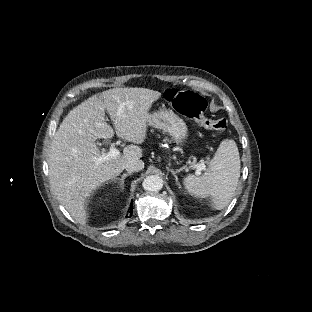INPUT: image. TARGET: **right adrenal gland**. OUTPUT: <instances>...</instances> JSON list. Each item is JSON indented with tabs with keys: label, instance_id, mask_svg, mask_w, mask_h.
<instances>
[{
	"label": "right adrenal gland",
	"instance_id": "2a0ac1e0",
	"mask_svg": "<svg viewBox=\"0 0 312 312\" xmlns=\"http://www.w3.org/2000/svg\"><path fill=\"white\" fill-rule=\"evenodd\" d=\"M129 175H131L130 172H128L127 174H123V175L121 176V178H116L115 181H114V183H116L117 181H120V187L123 189V188H124V181H125V178H126L127 176H129Z\"/></svg>",
	"mask_w": 312,
	"mask_h": 312
}]
</instances>
